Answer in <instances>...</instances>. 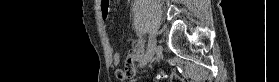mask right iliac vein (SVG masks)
Listing matches in <instances>:
<instances>
[{"mask_svg": "<svg viewBox=\"0 0 279 82\" xmlns=\"http://www.w3.org/2000/svg\"><path fill=\"white\" fill-rule=\"evenodd\" d=\"M155 50H156V34L155 32H153L149 38L146 54L141 59L140 62L141 67L147 65L151 61Z\"/></svg>", "mask_w": 279, "mask_h": 82, "instance_id": "1", "label": "right iliac vein"}]
</instances>
